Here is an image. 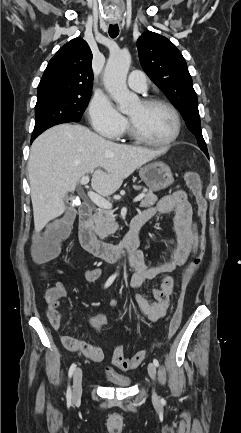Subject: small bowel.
Returning a JSON list of instances; mask_svg holds the SVG:
<instances>
[{
    "label": "small bowel",
    "instance_id": "small-bowel-1",
    "mask_svg": "<svg viewBox=\"0 0 241 433\" xmlns=\"http://www.w3.org/2000/svg\"><path fill=\"white\" fill-rule=\"evenodd\" d=\"M156 214L173 215L177 235L176 244L169 247L166 259L159 264H149L140 252L132 256L128 263L131 272L129 286L140 290L135 295L134 302L151 322L163 318L168 311L170 299L174 292V280L168 274L183 266L190 257L196 256L199 248L197 228L192 218V208L184 191L177 190L164 196L156 206L150 207L138 215L148 220ZM101 273L100 268L89 267L85 271V278L89 282H94L101 276ZM157 277H161L159 285L152 287L150 293H147L144 290L145 287ZM49 291H52L54 296L47 297V317L52 328L59 332L65 348L78 352L93 362H101L104 359V352L101 347L78 340L61 331V316L58 308L60 299L68 296L65 286L61 282H57ZM117 304V299L113 300L112 306L116 307ZM106 324L107 317L104 314H97L90 320V326L96 335H100Z\"/></svg>",
    "mask_w": 241,
    "mask_h": 433
}]
</instances>
